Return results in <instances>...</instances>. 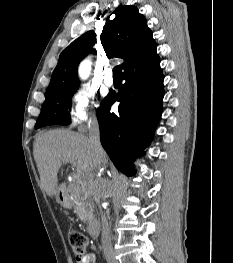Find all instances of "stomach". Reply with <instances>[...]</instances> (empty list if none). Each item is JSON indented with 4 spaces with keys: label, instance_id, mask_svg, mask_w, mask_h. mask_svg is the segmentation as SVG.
<instances>
[{
    "label": "stomach",
    "instance_id": "obj_1",
    "mask_svg": "<svg viewBox=\"0 0 233 263\" xmlns=\"http://www.w3.org/2000/svg\"><path fill=\"white\" fill-rule=\"evenodd\" d=\"M57 202L63 206L68 207L69 206V199L65 196V194L61 193V189H58V193L56 195Z\"/></svg>",
    "mask_w": 233,
    "mask_h": 263
}]
</instances>
